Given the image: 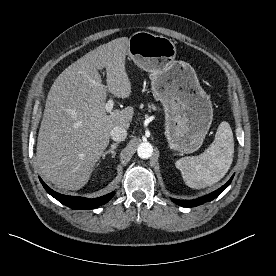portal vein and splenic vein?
<instances>
[{
  "label": "portal vein and splenic vein",
  "instance_id": "portal-vein-and-splenic-vein-1",
  "mask_svg": "<svg viewBox=\"0 0 276 276\" xmlns=\"http://www.w3.org/2000/svg\"><path fill=\"white\" fill-rule=\"evenodd\" d=\"M114 101L112 99H109L107 103L105 104V110L110 113L113 109Z\"/></svg>",
  "mask_w": 276,
  "mask_h": 276
}]
</instances>
